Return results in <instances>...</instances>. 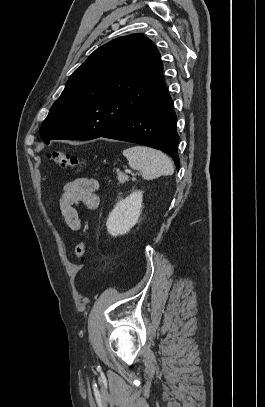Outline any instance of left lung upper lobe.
<instances>
[{
  "instance_id": "left-lung-upper-lobe-1",
  "label": "left lung upper lobe",
  "mask_w": 265,
  "mask_h": 407,
  "mask_svg": "<svg viewBox=\"0 0 265 407\" xmlns=\"http://www.w3.org/2000/svg\"><path fill=\"white\" fill-rule=\"evenodd\" d=\"M166 90L161 56L143 34L96 49L67 81L39 130L42 140L103 136Z\"/></svg>"
}]
</instances>
